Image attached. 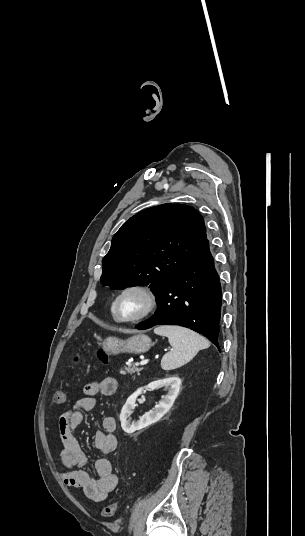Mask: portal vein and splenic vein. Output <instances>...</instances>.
<instances>
[{
    "label": "portal vein and splenic vein",
    "instance_id": "obj_1",
    "mask_svg": "<svg viewBox=\"0 0 305 536\" xmlns=\"http://www.w3.org/2000/svg\"><path fill=\"white\" fill-rule=\"evenodd\" d=\"M149 360H142L140 364H135V366H144V364H148Z\"/></svg>",
    "mask_w": 305,
    "mask_h": 536
}]
</instances>
